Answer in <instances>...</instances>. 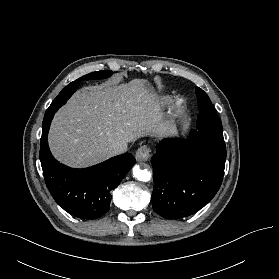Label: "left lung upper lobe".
<instances>
[{
    "label": "left lung upper lobe",
    "mask_w": 279,
    "mask_h": 279,
    "mask_svg": "<svg viewBox=\"0 0 279 279\" xmlns=\"http://www.w3.org/2000/svg\"><path fill=\"white\" fill-rule=\"evenodd\" d=\"M199 102V116L197 120V131L225 144L221 119L216 114L208 95L199 87L196 88Z\"/></svg>",
    "instance_id": "1"
}]
</instances>
